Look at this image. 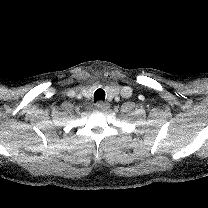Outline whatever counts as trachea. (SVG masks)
<instances>
[{
	"mask_svg": "<svg viewBox=\"0 0 208 208\" xmlns=\"http://www.w3.org/2000/svg\"><path fill=\"white\" fill-rule=\"evenodd\" d=\"M105 91L101 88L97 89L94 93V102L105 100Z\"/></svg>",
	"mask_w": 208,
	"mask_h": 208,
	"instance_id": "trachea-1",
	"label": "trachea"
}]
</instances>
